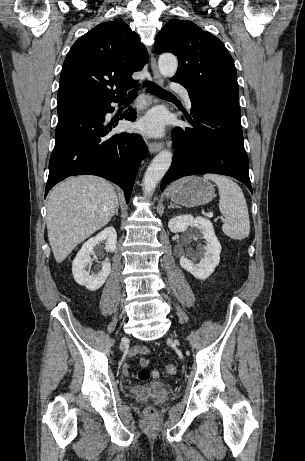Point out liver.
Masks as SVG:
<instances>
[{"mask_svg": "<svg viewBox=\"0 0 305 461\" xmlns=\"http://www.w3.org/2000/svg\"><path fill=\"white\" fill-rule=\"evenodd\" d=\"M117 205L114 187L103 178L78 176L55 186L48 196L46 224L56 262L104 227Z\"/></svg>", "mask_w": 305, "mask_h": 461, "instance_id": "liver-1", "label": "liver"}]
</instances>
